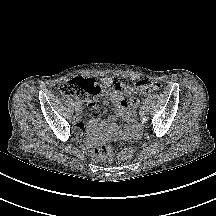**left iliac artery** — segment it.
Listing matches in <instances>:
<instances>
[{"instance_id":"1","label":"left iliac artery","mask_w":216,"mask_h":216,"mask_svg":"<svg viewBox=\"0 0 216 216\" xmlns=\"http://www.w3.org/2000/svg\"><path fill=\"white\" fill-rule=\"evenodd\" d=\"M142 104H147V99H142Z\"/></svg>"}]
</instances>
